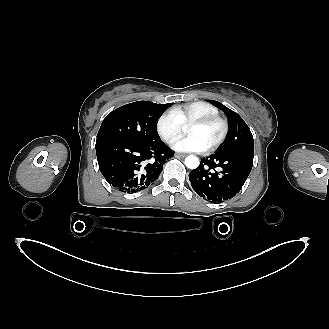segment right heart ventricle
<instances>
[{
  "instance_id": "right-heart-ventricle-1",
  "label": "right heart ventricle",
  "mask_w": 329,
  "mask_h": 329,
  "mask_svg": "<svg viewBox=\"0 0 329 329\" xmlns=\"http://www.w3.org/2000/svg\"><path fill=\"white\" fill-rule=\"evenodd\" d=\"M172 111L178 117L182 125H187L189 122L199 117L218 115L219 113L215 106L205 101H194L183 104L173 108Z\"/></svg>"
}]
</instances>
